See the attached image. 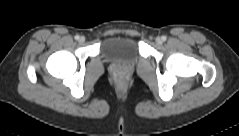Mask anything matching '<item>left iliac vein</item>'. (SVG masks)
Listing matches in <instances>:
<instances>
[{
  "label": "left iliac vein",
  "instance_id": "obj_1",
  "mask_svg": "<svg viewBox=\"0 0 239 136\" xmlns=\"http://www.w3.org/2000/svg\"><path fill=\"white\" fill-rule=\"evenodd\" d=\"M157 44H161L162 43V38L161 37H156L155 39Z\"/></svg>",
  "mask_w": 239,
  "mask_h": 136
}]
</instances>
